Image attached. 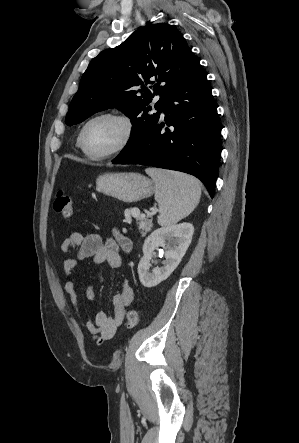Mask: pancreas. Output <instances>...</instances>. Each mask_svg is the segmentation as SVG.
<instances>
[{
	"label": "pancreas",
	"mask_w": 299,
	"mask_h": 443,
	"mask_svg": "<svg viewBox=\"0 0 299 443\" xmlns=\"http://www.w3.org/2000/svg\"><path fill=\"white\" fill-rule=\"evenodd\" d=\"M134 217L138 220L139 224L138 229L142 234V236H145L147 232L151 231V228L153 226L151 218L145 217L144 215H141L138 212L134 214Z\"/></svg>",
	"instance_id": "pancreas-1"
}]
</instances>
